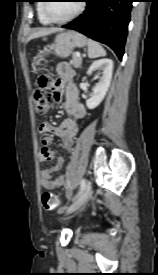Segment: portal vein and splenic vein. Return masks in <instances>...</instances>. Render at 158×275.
I'll use <instances>...</instances> for the list:
<instances>
[{"label":"portal vein and splenic vein","instance_id":"1","mask_svg":"<svg viewBox=\"0 0 158 275\" xmlns=\"http://www.w3.org/2000/svg\"><path fill=\"white\" fill-rule=\"evenodd\" d=\"M76 56L80 57V53H79V52H77V53H76Z\"/></svg>","mask_w":158,"mask_h":275}]
</instances>
